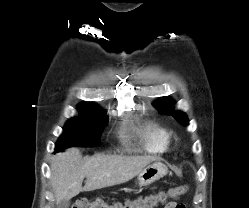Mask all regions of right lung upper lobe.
<instances>
[{
	"mask_svg": "<svg viewBox=\"0 0 249 208\" xmlns=\"http://www.w3.org/2000/svg\"><path fill=\"white\" fill-rule=\"evenodd\" d=\"M79 110H90V111H94V112L103 113L98 106H96L94 104H90V103H82V104H80L79 105Z\"/></svg>",
	"mask_w": 249,
	"mask_h": 208,
	"instance_id": "1",
	"label": "right lung upper lobe"
}]
</instances>
